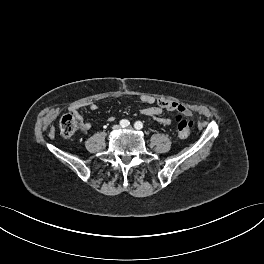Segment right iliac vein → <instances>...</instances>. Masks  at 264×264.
I'll return each instance as SVG.
<instances>
[{
  "instance_id": "obj_1",
  "label": "right iliac vein",
  "mask_w": 264,
  "mask_h": 264,
  "mask_svg": "<svg viewBox=\"0 0 264 264\" xmlns=\"http://www.w3.org/2000/svg\"><path fill=\"white\" fill-rule=\"evenodd\" d=\"M121 127L119 125H114L113 130H119Z\"/></svg>"
}]
</instances>
